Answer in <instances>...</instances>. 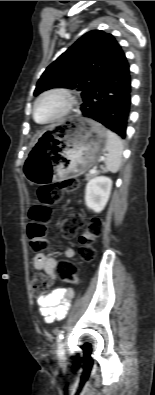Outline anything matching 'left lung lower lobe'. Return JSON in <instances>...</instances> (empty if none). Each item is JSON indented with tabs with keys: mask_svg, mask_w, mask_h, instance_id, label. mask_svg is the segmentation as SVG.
Wrapping results in <instances>:
<instances>
[{
	"mask_svg": "<svg viewBox=\"0 0 155 395\" xmlns=\"http://www.w3.org/2000/svg\"><path fill=\"white\" fill-rule=\"evenodd\" d=\"M130 107L131 76L125 57L103 76L98 87L84 100L81 111L124 139Z\"/></svg>",
	"mask_w": 155,
	"mask_h": 395,
	"instance_id": "0a47b994",
	"label": "left lung lower lobe"
}]
</instances>
